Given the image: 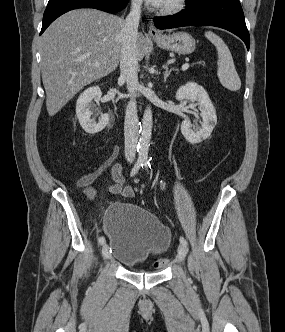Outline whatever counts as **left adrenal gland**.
<instances>
[{
    "label": "left adrenal gland",
    "mask_w": 285,
    "mask_h": 332,
    "mask_svg": "<svg viewBox=\"0 0 285 332\" xmlns=\"http://www.w3.org/2000/svg\"><path fill=\"white\" fill-rule=\"evenodd\" d=\"M163 69L165 70L164 71V82H166V79L170 75V73L172 71H176V69H174V68L169 69L168 65H163Z\"/></svg>",
    "instance_id": "a2214340"
}]
</instances>
